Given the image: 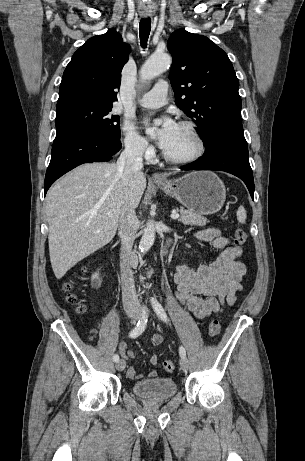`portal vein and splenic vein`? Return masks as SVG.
I'll return each instance as SVG.
<instances>
[{"mask_svg": "<svg viewBox=\"0 0 305 461\" xmlns=\"http://www.w3.org/2000/svg\"><path fill=\"white\" fill-rule=\"evenodd\" d=\"M108 215H111V214L108 213ZM171 218H172V219H178V218H179V214H178V213H172V214H171Z\"/></svg>", "mask_w": 305, "mask_h": 461, "instance_id": "obj_1", "label": "portal vein and splenic vein"}]
</instances>
